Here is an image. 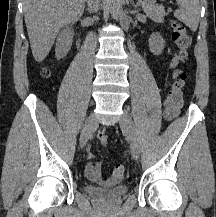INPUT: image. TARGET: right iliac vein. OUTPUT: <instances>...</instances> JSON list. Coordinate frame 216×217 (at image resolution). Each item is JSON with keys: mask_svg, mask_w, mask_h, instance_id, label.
<instances>
[{"mask_svg": "<svg viewBox=\"0 0 216 217\" xmlns=\"http://www.w3.org/2000/svg\"><path fill=\"white\" fill-rule=\"evenodd\" d=\"M97 128V120L95 118L94 114H91L85 121V124L81 130V135H80V145L83 148L89 137L93 134L95 129Z\"/></svg>", "mask_w": 216, "mask_h": 217, "instance_id": "1", "label": "right iliac vein"}]
</instances>
